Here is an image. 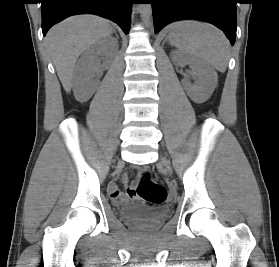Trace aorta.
I'll return each mask as SVG.
<instances>
[{
  "mask_svg": "<svg viewBox=\"0 0 279 267\" xmlns=\"http://www.w3.org/2000/svg\"><path fill=\"white\" fill-rule=\"evenodd\" d=\"M139 12L142 17V21L146 26H149L151 21V4L150 3H140Z\"/></svg>",
  "mask_w": 279,
  "mask_h": 267,
  "instance_id": "762f6f07",
  "label": "aorta"
}]
</instances>
